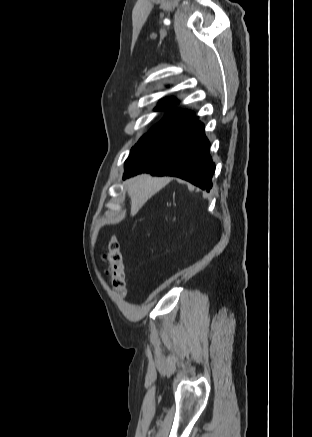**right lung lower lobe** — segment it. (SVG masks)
Instances as JSON below:
<instances>
[{
    "instance_id": "1",
    "label": "right lung lower lobe",
    "mask_w": 312,
    "mask_h": 437,
    "mask_svg": "<svg viewBox=\"0 0 312 437\" xmlns=\"http://www.w3.org/2000/svg\"><path fill=\"white\" fill-rule=\"evenodd\" d=\"M204 125L197 121L172 142L145 152L131 154L125 162L124 179L149 172L158 176L180 177L203 190L212 187L215 165Z\"/></svg>"
}]
</instances>
